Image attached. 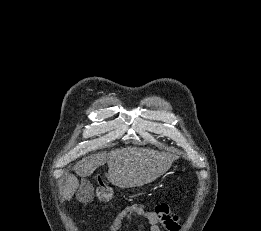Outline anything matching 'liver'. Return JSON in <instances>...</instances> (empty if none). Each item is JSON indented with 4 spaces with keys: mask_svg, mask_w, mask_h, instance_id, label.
Returning a JSON list of instances; mask_svg holds the SVG:
<instances>
[{
    "mask_svg": "<svg viewBox=\"0 0 261 231\" xmlns=\"http://www.w3.org/2000/svg\"><path fill=\"white\" fill-rule=\"evenodd\" d=\"M177 157L150 148L127 147L84 157L75 166L81 176H90L98 167L108 164V180L120 188H132L153 182L166 173ZM79 187L78 179L69 175L63 187L66 200H71Z\"/></svg>",
    "mask_w": 261,
    "mask_h": 231,
    "instance_id": "1",
    "label": "liver"
}]
</instances>
